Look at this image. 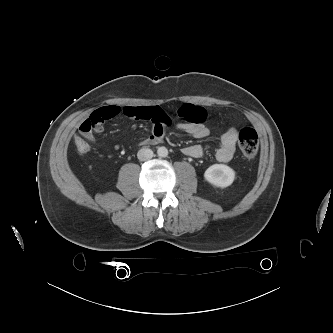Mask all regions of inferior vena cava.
Wrapping results in <instances>:
<instances>
[{
	"label": "inferior vena cava",
	"instance_id": "602c4592",
	"mask_svg": "<svg viewBox=\"0 0 333 333\" xmlns=\"http://www.w3.org/2000/svg\"><path fill=\"white\" fill-rule=\"evenodd\" d=\"M153 151L149 148H142L138 151L137 157L140 161H146L153 157Z\"/></svg>",
	"mask_w": 333,
	"mask_h": 333
}]
</instances>
